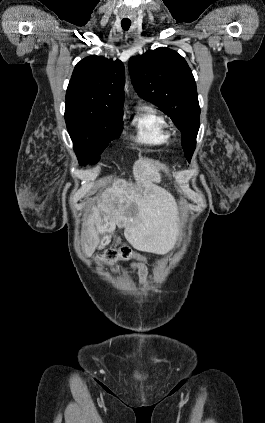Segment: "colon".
Instances as JSON below:
<instances>
[{
    "mask_svg": "<svg viewBox=\"0 0 265 423\" xmlns=\"http://www.w3.org/2000/svg\"><path fill=\"white\" fill-rule=\"evenodd\" d=\"M141 260L140 254L128 246L113 247L100 255V261L104 264H111L117 260Z\"/></svg>",
    "mask_w": 265,
    "mask_h": 423,
    "instance_id": "1",
    "label": "colon"
}]
</instances>
